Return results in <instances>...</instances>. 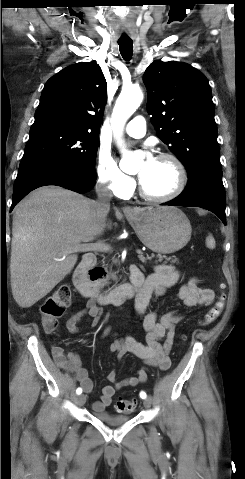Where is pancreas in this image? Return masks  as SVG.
Listing matches in <instances>:
<instances>
[{
    "instance_id": "1",
    "label": "pancreas",
    "mask_w": 245,
    "mask_h": 479,
    "mask_svg": "<svg viewBox=\"0 0 245 479\" xmlns=\"http://www.w3.org/2000/svg\"><path fill=\"white\" fill-rule=\"evenodd\" d=\"M157 258H158V260L155 261V263L161 262L164 257L161 256V255H157ZM147 259H151V258H147ZM147 259L144 258V257H140V260H141L142 262H146ZM166 260L170 261L171 263H178V259H177L176 257H169V258H166ZM104 266H105V265H104ZM104 268H105V270H106V272H107V275L101 280V285L104 286V285L108 284V282H109L110 279L117 281L116 273L111 272V271H108V270H107V265H106Z\"/></svg>"
}]
</instances>
